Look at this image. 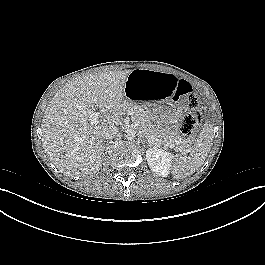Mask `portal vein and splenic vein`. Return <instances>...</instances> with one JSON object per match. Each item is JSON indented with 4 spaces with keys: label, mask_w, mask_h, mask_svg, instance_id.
Instances as JSON below:
<instances>
[{
    "label": "portal vein and splenic vein",
    "mask_w": 265,
    "mask_h": 265,
    "mask_svg": "<svg viewBox=\"0 0 265 265\" xmlns=\"http://www.w3.org/2000/svg\"><path fill=\"white\" fill-rule=\"evenodd\" d=\"M96 101V99H95ZM100 117V113L99 112H93L91 115H90V118H89V121L91 124H98V119ZM167 147L169 148H175V146L173 144H166Z\"/></svg>",
    "instance_id": "obj_1"
}]
</instances>
